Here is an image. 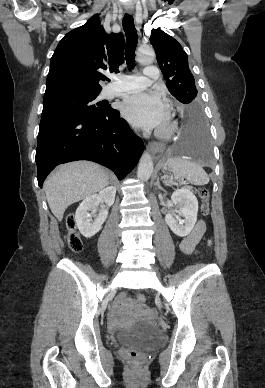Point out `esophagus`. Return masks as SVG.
I'll return each mask as SVG.
<instances>
[{
  "label": "esophagus",
  "instance_id": "esophagus-1",
  "mask_svg": "<svg viewBox=\"0 0 265 388\" xmlns=\"http://www.w3.org/2000/svg\"><path fill=\"white\" fill-rule=\"evenodd\" d=\"M126 12L131 15L134 13V9H126ZM147 148L150 150L153 157H159L163 154L165 145L163 143L153 142L149 143Z\"/></svg>",
  "mask_w": 265,
  "mask_h": 388
}]
</instances>
